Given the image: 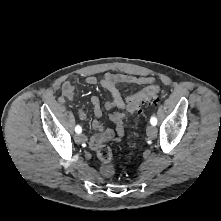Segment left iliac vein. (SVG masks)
I'll list each match as a JSON object with an SVG mask.
<instances>
[{
	"instance_id": "left-iliac-vein-1",
	"label": "left iliac vein",
	"mask_w": 221,
	"mask_h": 221,
	"mask_svg": "<svg viewBox=\"0 0 221 221\" xmlns=\"http://www.w3.org/2000/svg\"><path fill=\"white\" fill-rule=\"evenodd\" d=\"M147 136L154 139L157 136V129L153 125H149L146 129Z\"/></svg>"
}]
</instances>
